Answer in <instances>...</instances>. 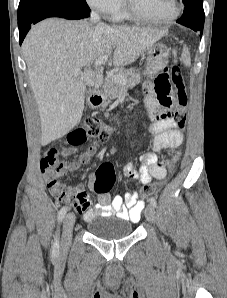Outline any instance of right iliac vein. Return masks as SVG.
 Masks as SVG:
<instances>
[{"label":"right iliac vein","mask_w":227,"mask_h":298,"mask_svg":"<svg viewBox=\"0 0 227 298\" xmlns=\"http://www.w3.org/2000/svg\"><path fill=\"white\" fill-rule=\"evenodd\" d=\"M75 224V214L68 213L63 221V233H62V248H66L69 246L71 237H72V230Z\"/></svg>","instance_id":"obj_1"}]
</instances>
